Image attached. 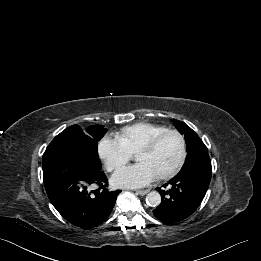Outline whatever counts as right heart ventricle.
I'll list each match as a JSON object with an SVG mask.
<instances>
[{"mask_svg":"<svg viewBox=\"0 0 261 261\" xmlns=\"http://www.w3.org/2000/svg\"><path fill=\"white\" fill-rule=\"evenodd\" d=\"M167 130L165 126L140 122L122 128L115 134L129 153H135L158 133Z\"/></svg>","mask_w":261,"mask_h":261,"instance_id":"right-heart-ventricle-1","label":"right heart ventricle"}]
</instances>
